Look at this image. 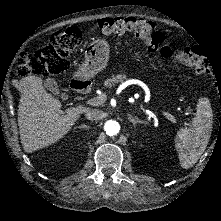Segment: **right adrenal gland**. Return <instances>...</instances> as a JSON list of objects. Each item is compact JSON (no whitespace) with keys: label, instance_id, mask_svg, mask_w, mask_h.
Returning a JSON list of instances; mask_svg holds the SVG:
<instances>
[{"label":"right adrenal gland","instance_id":"1","mask_svg":"<svg viewBox=\"0 0 221 221\" xmlns=\"http://www.w3.org/2000/svg\"><path fill=\"white\" fill-rule=\"evenodd\" d=\"M81 126H84V127H86L87 125H86V124H82Z\"/></svg>","mask_w":221,"mask_h":221}]
</instances>
